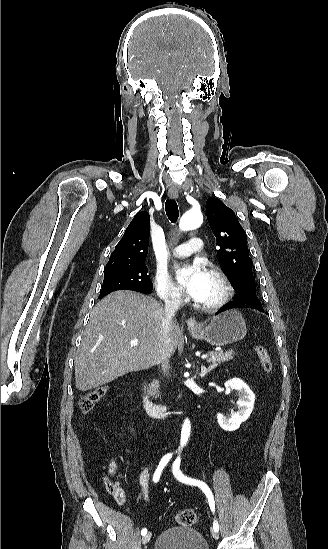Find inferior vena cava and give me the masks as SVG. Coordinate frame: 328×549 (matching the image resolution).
<instances>
[{
    "label": "inferior vena cava",
    "mask_w": 328,
    "mask_h": 549,
    "mask_svg": "<svg viewBox=\"0 0 328 549\" xmlns=\"http://www.w3.org/2000/svg\"><path fill=\"white\" fill-rule=\"evenodd\" d=\"M164 303H165L164 311H165L166 317L162 323V327L160 331V335H161L160 339L163 343V349H162V355H161V359H163V361H161V363H164V361H166V363L162 365L163 371L164 373H166V369H168L169 367L168 359L170 355H167V351H165V349H169L168 345L170 341V337H169L170 321H172L173 317H175V313L179 311L181 303L179 299H165Z\"/></svg>",
    "instance_id": "1"
}]
</instances>
